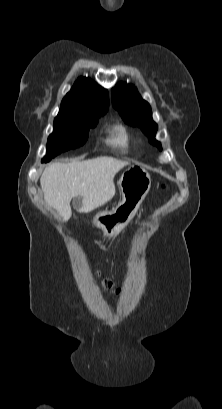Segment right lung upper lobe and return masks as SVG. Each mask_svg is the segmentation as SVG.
I'll return each mask as SVG.
<instances>
[{"mask_svg": "<svg viewBox=\"0 0 222 409\" xmlns=\"http://www.w3.org/2000/svg\"><path fill=\"white\" fill-rule=\"evenodd\" d=\"M108 92L88 78H78L61 103L60 112L74 110L107 111Z\"/></svg>", "mask_w": 222, "mask_h": 409, "instance_id": "cb5924a9", "label": "right lung upper lobe"}]
</instances>
